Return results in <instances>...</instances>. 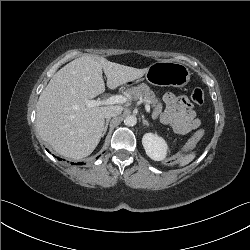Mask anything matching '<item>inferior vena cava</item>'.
Returning <instances> with one entry per match:
<instances>
[{
	"label": "inferior vena cava",
	"instance_id": "602c4592",
	"mask_svg": "<svg viewBox=\"0 0 250 250\" xmlns=\"http://www.w3.org/2000/svg\"><path fill=\"white\" fill-rule=\"evenodd\" d=\"M122 107L120 106H111L105 113V118H111L121 114Z\"/></svg>",
	"mask_w": 250,
	"mask_h": 250
}]
</instances>
